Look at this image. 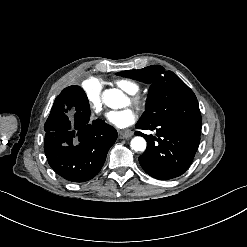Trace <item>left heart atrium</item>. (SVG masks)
Instances as JSON below:
<instances>
[{"label":"left heart atrium","instance_id":"left-heart-atrium-1","mask_svg":"<svg viewBox=\"0 0 247 247\" xmlns=\"http://www.w3.org/2000/svg\"><path fill=\"white\" fill-rule=\"evenodd\" d=\"M138 119V112L134 108H126L121 111H111L107 114V120L117 128H125Z\"/></svg>","mask_w":247,"mask_h":247}]
</instances>
